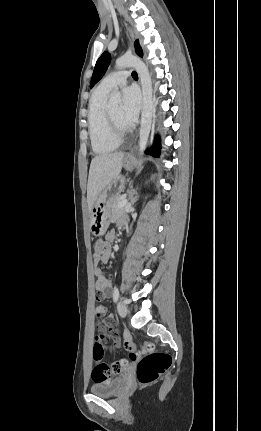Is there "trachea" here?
I'll list each match as a JSON object with an SVG mask.
<instances>
[{
  "instance_id": "trachea-1",
  "label": "trachea",
  "mask_w": 261,
  "mask_h": 431,
  "mask_svg": "<svg viewBox=\"0 0 261 431\" xmlns=\"http://www.w3.org/2000/svg\"><path fill=\"white\" fill-rule=\"evenodd\" d=\"M132 77L135 78V79L138 78V75H137V73L135 71L132 72Z\"/></svg>"
}]
</instances>
